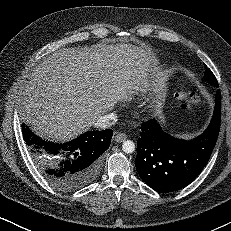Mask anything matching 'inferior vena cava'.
I'll return each mask as SVG.
<instances>
[{"label": "inferior vena cava", "instance_id": "obj_1", "mask_svg": "<svg viewBox=\"0 0 231 231\" xmlns=\"http://www.w3.org/2000/svg\"><path fill=\"white\" fill-rule=\"evenodd\" d=\"M117 122V115L115 113H109L101 116L96 122L95 126L101 129L111 127Z\"/></svg>", "mask_w": 231, "mask_h": 231}]
</instances>
